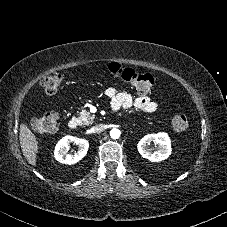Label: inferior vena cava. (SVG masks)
Masks as SVG:
<instances>
[{
  "instance_id": "1",
  "label": "inferior vena cava",
  "mask_w": 227,
  "mask_h": 227,
  "mask_svg": "<svg viewBox=\"0 0 227 227\" xmlns=\"http://www.w3.org/2000/svg\"><path fill=\"white\" fill-rule=\"evenodd\" d=\"M105 129V126L103 124H99V125H96L92 128V131L94 133H101L102 131H104Z\"/></svg>"
}]
</instances>
